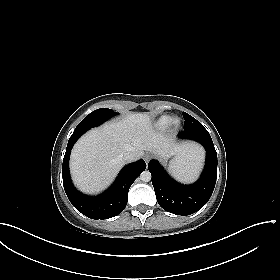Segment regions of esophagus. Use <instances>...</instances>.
I'll use <instances>...</instances> for the list:
<instances>
[{"label":"esophagus","mask_w":280,"mask_h":280,"mask_svg":"<svg viewBox=\"0 0 280 280\" xmlns=\"http://www.w3.org/2000/svg\"><path fill=\"white\" fill-rule=\"evenodd\" d=\"M151 154H146L145 156H144V160L146 161V162H149L150 161V159H151Z\"/></svg>","instance_id":"esophagus-1"}]
</instances>
